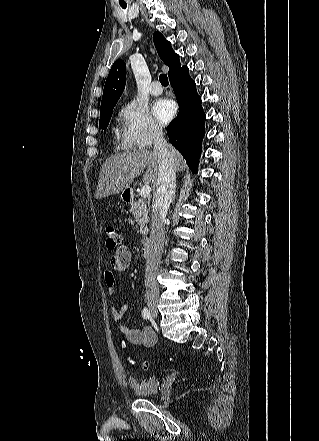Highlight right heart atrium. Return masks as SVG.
<instances>
[{
	"mask_svg": "<svg viewBox=\"0 0 319 441\" xmlns=\"http://www.w3.org/2000/svg\"><path fill=\"white\" fill-rule=\"evenodd\" d=\"M122 121L121 140L130 151L148 149L162 138L163 132L158 123L143 105L130 101L119 111Z\"/></svg>",
	"mask_w": 319,
	"mask_h": 441,
	"instance_id": "d8ad5b80",
	"label": "right heart atrium"
}]
</instances>
